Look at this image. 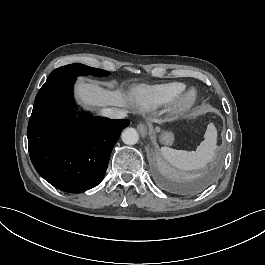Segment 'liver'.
<instances>
[{"instance_id":"liver-1","label":"liver","mask_w":265,"mask_h":265,"mask_svg":"<svg viewBox=\"0 0 265 265\" xmlns=\"http://www.w3.org/2000/svg\"><path fill=\"white\" fill-rule=\"evenodd\" d=\"M75 92L76 97L81 100L82 104L87 106H126V99L120 90H105L94 81L88 83L83 80L79 81Z\"/></svg>"}]
</instances>
